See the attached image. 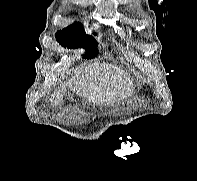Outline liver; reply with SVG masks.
<instances>
[{"label": "liver", "mask_w": 197, "mask_h": 181, "mask_svg": "<svg viewBox=\"0 0 197 181\" xmlns=\"http://www.w3.org/2000/svg\"><path fill=\"white\" fill-rule=\"evenodd\" d=\"M80 97L98 105H110L133 93V82L124 72L108 63H93L79 68L72 83L62 84L61 91L52 95V103L62 102V91L66 86Z\"/></svg>", "instance_id": "liver-1"}]
</instances>
